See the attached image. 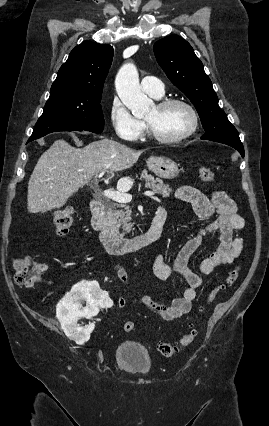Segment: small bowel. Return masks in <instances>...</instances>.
Listing matches in <instances>:
<instances>
[{"mask_svg":"<svg viewBox=\"0 0 269 426\" xmlns=\"http://www.w3.org/2000/svg\"><path fill=\"white\" fill-rule=\"evenodd\" d=\"M175 197L189 203L195 214L204 220L205 225L190 237L180 249L173 267H169L163 255H159L153 265L154 273L160 280H167L173 272L183 276L188 284L181 297L175 298L170 303L155 301L149 295L130 298L119 297L116 304L119 308L134 307L138 303L152 314L164 320H175L189 313L197 296V290L202 285L201 276L188 267L192 254L199 247L202 238L216 232L219 244L216 250L206 258L200 266L202 274H211L218 266L234 262L242 253L244 242L234 233L245 227V220L237 212V206L230 196L218 190L207 197L204 193L192 186H180L176 189ZM43 271L48 269L47 264L42 265ZM118 280L130 288L129 275L121 264L114 266Z\"/></svg>","mask_w":269,"mask_h":426,"instance_id":"obj_1","label":"small bowel"}]
</instances>
